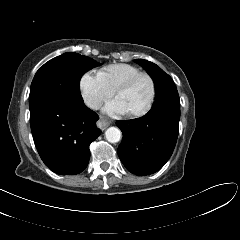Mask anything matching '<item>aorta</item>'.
I'll use <instances>...</instances> for the list:
<instances>
[{
	"mask_svg": "<svg viewBox=\"0 0 240 240\" xmlns=\"http://www.w3.org/2000/svg\"><path fill=\"white\" fill-rule=\"evenodd\" d=\"M106 140L110 143H117L121 139V131L116 127H109L105 131Z\"/></svg>",
	"mask_w": 240,
	"mask_h": 240,
	"instance_id": "762f6f07",
	"label": "aorta"
}]
</instances>
